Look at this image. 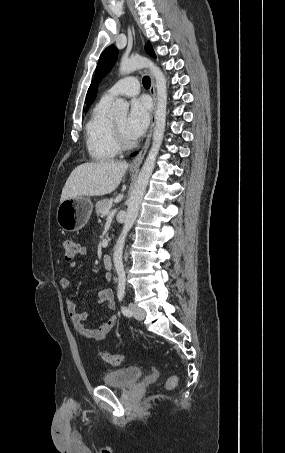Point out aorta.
<instances>
[{"mask_svg":"<svg viewBox=\"0 0 285 453\" xmlns=\"http://www.w3.org/2000/svg\"><path fill=\"white\" fill-rule=\"evenodd\" d=\"M142 68H149L155 78L157 90V107L155 111L156 124L153 131L152 147L143 164L135 187L128 200V208L126 212L125 223L113 252L114 267L117 273H121L124 271L122 255L125 240L128 232L132 228L138 216L140 203L146 191L149 179L154 170L156 157L162 144L166 125L167 85L165 76L161 69L158 66H156L151 60L145 57L134 56L128 58L123 56L120 62L119 72L121 75H126ZM128 110L129 103L124 99H116L112 105V112L114 115L117 116H126Z\"/></svg>","mask_w":285,"mask_h":453,"instance_id":"obj_1","label":"aorta"}]
</instances>
